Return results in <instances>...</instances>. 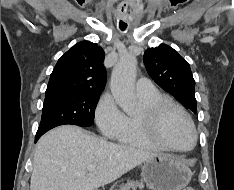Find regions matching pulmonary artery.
<instances>
[{
    "label": "pulmonary artery",
    "instance_id": "1",
    "mask_svg": "<svg viewBox=\"0 0 234 190\" xmlns=\"http://www.w3.org/2000/svg\"><path fill=\"white\" fill-rule=\"evenodd\" d=\"M136 91L138 95L145 96L156 92L154 84L147 78H140L136 84Z\"/></svg>",
    "mask_w": 234,
    "mask_h": 190
}]
</instances>
